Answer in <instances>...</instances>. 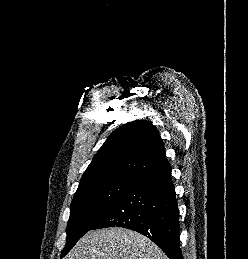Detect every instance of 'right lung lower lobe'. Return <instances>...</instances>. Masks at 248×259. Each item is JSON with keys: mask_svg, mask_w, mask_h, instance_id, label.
Wrapping results in <instances>:
<instances>
[{"mask_svg": "<svg viewBox=\"0 0 248 259\" xmlns=\"http://www.w3.org/2000/svg\"><path fill=\"white\" fill-rule=\"evenodd\" d=\"M114 226L147 236L169 259H183L179 245V211L170 166L133 183L91 230Z\"/></svg>", "mask_w": 248, "mask_h": 259, "instance_id": "98d812e1", "label": "right lung lower lobe"}]
</instances>
